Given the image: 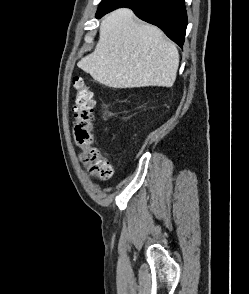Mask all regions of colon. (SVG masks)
Returning <instances> with one entry per match:
<instances>
[{"label":"colon","instance_id":"colon-1","mask_svg":"<svg viewBox=\"0 0 249 294\" xmlns=\"http://www.w3.org/2000/svg\"><path fill=\"white\" fill-rule=\"evenodd\" d=\"M75 101L73 107V136L76 147L81 150V161L97 180H107L113 170L110 161L95 144L93 93L80 77H74Z\"/></svg>","mask_w":249,"mask_h":294}]
</instances>
